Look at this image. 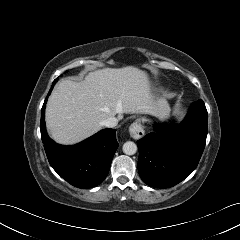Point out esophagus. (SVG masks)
<instances>
[{
    "label": "esophagus",
    "instance_id": "34e87169",
    "mask_svg": "<svg viewBox=\"0 0 240 240\" xmlns=\"http://www.w3.org/2000/svg\"><path fill=\"white\" fill-rule=\"evenodd\" d=\"M129 133L132 138L140 139L144 136V129L139 119L135 120L129 127Z\"/></svg>",
    "mask_w": 240,
    "mask_h": 240
}]
</instances>
